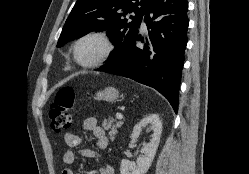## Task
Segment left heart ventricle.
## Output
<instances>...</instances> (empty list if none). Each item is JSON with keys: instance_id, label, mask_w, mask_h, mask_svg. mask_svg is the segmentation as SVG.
Here are the masks:
<instances>
[{"instance_id": "obj_1", "label": "left heart ventricle", "mask_w": 249, "mask_h": 174, "mask_svg": "<svg viewBox=\"0 0 249 174\" xmlns=\"http://www.w3.org/2000/svg\"><path fill=\"white\" fill-rule=\"evenodd\" d=\"M104 50L103 43L95 38L83 41L78 47V57L83 62H91L97 59Z\"/></svg>"}]
</instances>
